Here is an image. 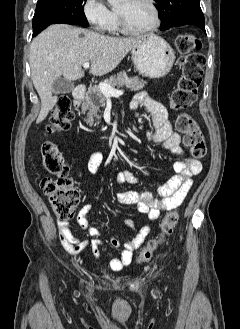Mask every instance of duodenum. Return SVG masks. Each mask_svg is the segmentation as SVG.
<instances>
[{"instance_id": "duodenum-1", "label": "duodenum", "mask_w": 240, "mask_h": 329, "mask_svg": "<svg viewBox=\"0 0 240 329\" xmlns=\"http://www.w3.org/2000/svg\"><path fill=\"white\" fill-rule=\"evenodd\" d=\"M86 88L83 84L76 86L73 91V101L75 108H79L81 103L84 101Z\"/></svg>"}]
</instances>
